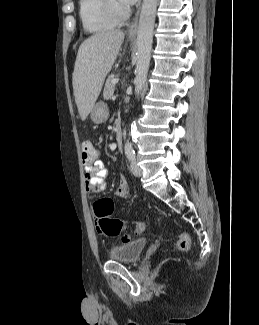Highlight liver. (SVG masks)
<instances>
[{
	"mask_svg": "<svg viewBox=\"0 0 259 325\" xmlns=\"http://www.w3.org/2000/svg\"><path fill=\"white\" fill-rule=\"evenodd\" d=\"M125 34L121 30L98 32L79 47L72 84L75 102L84 121L101 92L105 77L110 72Z\"/></svg>",
	"mask_w": 259,
	"mask_h": 325,
	"instance_id": "6515ba94",
	"label": "liver"
}]
</instances>
